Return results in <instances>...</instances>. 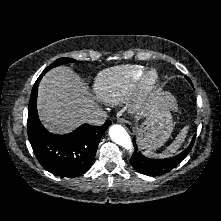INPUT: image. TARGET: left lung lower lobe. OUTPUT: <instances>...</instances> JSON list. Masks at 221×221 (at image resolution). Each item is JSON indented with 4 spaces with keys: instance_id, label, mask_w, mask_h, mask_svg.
<instances>
[{
    "instance_id": "1",
    "label": "left lung lower lobe",
    "mask_w": 221,
    "mask_h": 221,
    "mask_svg": "<svg viewBox=\"0 0 221 221\" xmlns=\"http://www.w3.org/2000/svg\"><path fill=\"white\" fill-rule=\"evenodd\" d=\"M195 136L193 137L190 145L180 154L171 158L165 159H149L138 151L135 139L133 140L135 152L133 153L130 163L133 168L141 174L148 176H158L171 171L175 168L191 151Z\"/></svg>"
}]
</instances>
